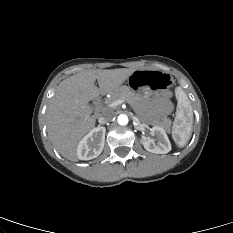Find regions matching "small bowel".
Returning <instances> with one entry per match:
<instances>
[{"mask_svg":"<svg viewBox=\"0 0 233 233\" xmlns=\"http://www.w3.org/2000/svg\"><path fill=\"white\" fill-rule=\"evenodd\" d=\"M159 106H160V109H161L163 112H165V113H167V112L170 111V109H171V104H170V101H169L168 96H166V97H164V98H161V99L159 100Z\"/></svg>","mask_w":233,"mask_h":233,"instance_id":"c3829d8e","label":"small bowel"}]
</instances>
